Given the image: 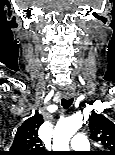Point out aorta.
Returning a JSON list of instances; mask_svg holds the SVG:
<instances>
[{
    "label": "aorta",
    "mask_w": 115,
    "mask_h": 155,
    "mask_svg": "<svg viewBox=\"0 0 115 155\" xmlns=\"http://www.w3.org/2000/svg\"><path fill=\"white\" fill-rule=\"evenodd\" d=\"M82 124L83 121L80 114L60 120L55 127L53 135V149L56 151H68L71 137L78 131Z\"/></svg>",
    "instance_id": "1"
}]
</instances>
